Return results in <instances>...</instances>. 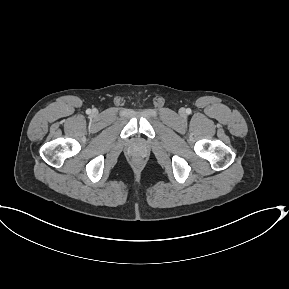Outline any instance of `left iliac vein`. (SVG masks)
I'll use <instances>...</instances> for the list:
<instances>
[{"mask_svg": "<svg viewBox=\"0 0 289 289\" xmlns=\"http://www.w3.org/2000/svg\"><path fill=\"white\" fill-rule=\"evenodd\" d=\"M180 114H181L182 116H184V115H185V110L182 109V110L180 111Z\"/></svg>", "mask_w": 289, "mask_h": 289, "instance_id": "left-iliac-vein-1", "label": "left iliac vein"}]
</instances>
